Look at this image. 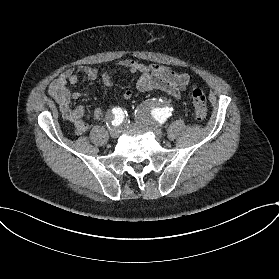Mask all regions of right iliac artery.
<instances>
[{
  "instance_id": "right-iliac-artery-1",
  "label": "right iliac artery",
  "mask_w": 279,
  "mask_h": 279,
  "mask_svg": "<svg viewBox=\"0 0 279 279\" xmlns=\"http://www.w3.org/2000/svg\"><path fill=\"white\" fill-rule=\"evenodd\" d=\"M113 120L111 121L113 126H118L123 121L125 117V112L120 107H115L112 110Z\"/></svg>"
}]
</instances>
